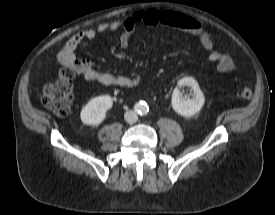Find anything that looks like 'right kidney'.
Instances as JSON below:
<instances>
[{"instance_id": "right-kidney-1", "label": "right kidney", "mask_w": 275, "mask_h": 215, "mask_svg": "<svg viewBox=\"0 0 275 215\" xmlns=\"http://www.w3.org/2000/svg\"><path fill=\"white\" fill-rule=\"evenodd\" d=\"M113 100L109 95L98 96L91 99L81 110V120L87 125H99L106 112L112 107Z\"/></svg>"}]
</instances>
